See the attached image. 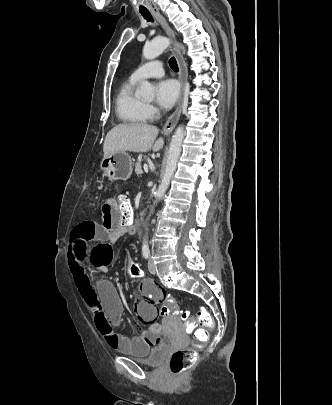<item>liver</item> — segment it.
I'll return each instance as SVG.
<instances>
[{"label": "liver", "instance_id": "liver-1", "mask_svg": "<svg viewBox=\"0 0 332 405\" xmlns=\"http://www.w3.org/2000/svg\"><path fill=\"white\" fill-rule=\"evenodd\" d=\"M158 129L143 123H124L112 128L106 135L103 152L104 158L117 152H158L163 148L162 137L156 140Z\"/></svg>", "mask_w": 332, "mask_h": 405}]
</instances>
